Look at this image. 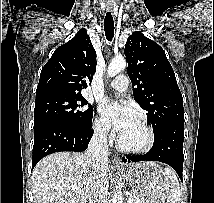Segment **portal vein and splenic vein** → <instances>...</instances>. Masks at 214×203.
<instances>
[{
	"label": "portal vein and splenic vein",
	"instance_id": "obj_1",
	"mask_svg": "<svg viewBox=\"0 0 214 203\" xmlns=\"http://www.w3.org/2000/svg\"><path fill=\"white\" fill-rule=\"evenodd\" d=\"M127 203H133V199L131 197H129Z\"/></svg>",
	"mask_w": 214,
	"mask_h": 203
}]
</instances>
